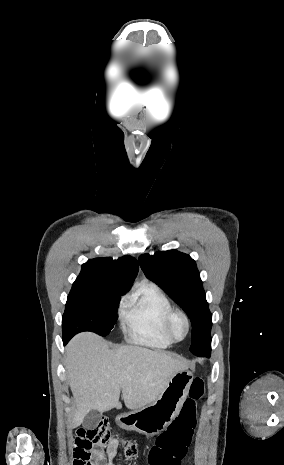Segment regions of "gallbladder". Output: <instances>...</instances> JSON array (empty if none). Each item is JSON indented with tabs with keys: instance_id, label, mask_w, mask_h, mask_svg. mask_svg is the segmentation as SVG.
Returning <instances> with one entry per match:
<instances>
[{
	"instance_id": "obj_1",
	"label": "gallbladder",
	"mask_w": 284,
	"mask_h": 465,
	"mask_svg": "<svg viewBox=\"0 0 284 465\" xmlns=\"http://www.w3.org/2000/svg\"><path fill=\"white\" fill-rule=\"evenodd\" d=\"M101 417L102 415L98 411H89L82 423L84 429H96L101 421Z\"/></svg>"
}]
</instances>
